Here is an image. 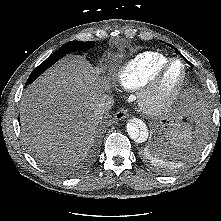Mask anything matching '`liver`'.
<instances>
[{"instance_id":"obj_1","label":"liver","mask_w":221,"mask_h":221,"mask_svg":"<svg viewBox=\"0 0 221 221\" xmlns=\"http://www.w3.org/2000/svg\"><path fill=\"white\" fill-rule=\"evenodd\" d=\"M108 83L79 57L66 58L31 84L20 104L24 139L36 156L64 165L86 157L102 120Z\"/></svg>"}]
</instances>
